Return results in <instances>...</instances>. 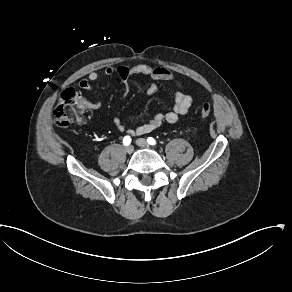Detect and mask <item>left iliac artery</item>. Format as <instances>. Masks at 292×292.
Here are the masks:
<instances>
[{
	"mask_svg": "<svg viewBox=\"0 0 292 292\" xmlns=\"http://www.w3.org/2000/svg\"><path fill=\"white\" fill-rule=\"evenodd\" d=\"M147 142L150 144V145H155L156 144V141L153 137H148L147 139Z\"/></svg>",
	"mask_w": 292,
	"mask_h": 292,
	"instance_id": "obj_1",
	"label": "left iliac artery"
}]
</instances>
